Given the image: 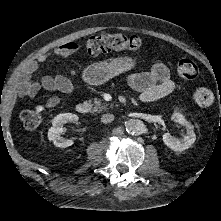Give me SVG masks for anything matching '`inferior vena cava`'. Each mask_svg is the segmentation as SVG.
<instances>
[{
	"label": "inferior vena cava",
	"mask_w": 221,
	"mask_h": 221,
	"mask_svg": "<svg viewBox=\"0 0 221 221\" xmlns=\"http://www.w3.org/2000/svg\"><path fill=\"white\" fill-rule=\"evenodd\" d=\"M113 120H114V115L110 114V113L104 114L101 117V122L104 123V124L110 123Z\"/></svg>",
	"instance_id": "inferior-vena-cava-1"
}]
</instances>
